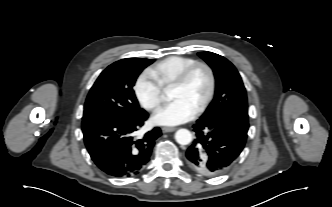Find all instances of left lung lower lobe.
I'll list each match as a JSON object with an SVG mask.
<instances>
[{"instance_id":"left-lung-lower-lobe-1","label":"left lung lower lobe","mask_w":332,"mask_h":207,"mask_svg":"<svg viewBox=\"0 0 332 207\" xmlns=\"http://www.w3.org/2000/svg\"><path fill=\"white\" fill-rule=\"evenodd\" d=\"M196 139L186 151L188 165L204 176L228 170L243 150L249 128L248 114L229 112L193 125Z\"/></svg>"}]
</instances>
